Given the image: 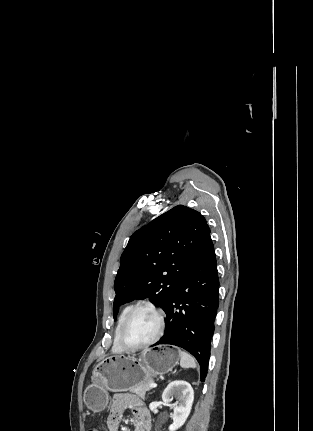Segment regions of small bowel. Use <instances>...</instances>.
<instances>
[{"instance_id":"c3829d8e","label":"small bowel","mask_w":313,"mask_h":431,"mask_svg":"<svg viewBox=\"0 0 313 431\" xmlns=\"http://www.w3.org/2000/svg\"><path fill=\"white\" fill-rule=\"evenodd\" d=\"M126 407H129L136 417L137 426L134 431H149L151 419L148 411L135 396L125 393H117L113 397L107 420L109 430L118 431Z\"/></svg>"}]
</instances>
